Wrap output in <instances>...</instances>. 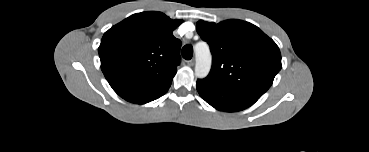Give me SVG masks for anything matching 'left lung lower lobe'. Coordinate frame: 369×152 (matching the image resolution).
<instances>
[{"mask_svg": "<svg viewBox=\"0 0 369 152\" xmlns=\"http://www.w3.org/2000/svg\"><path fill=\"white\" fill-rule=\"evenodd\" d=\"M196 88L207 103L220 111H241L250 107L259 99L252 95L223 90L203 80H197Z\"/></svg>", "mask_w": 369, "mask_h": 152, "instance_id": "0a47b994", "label": "left lung lower lobe"}]
</instances>
